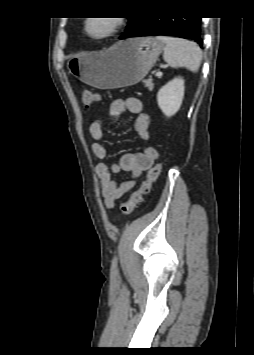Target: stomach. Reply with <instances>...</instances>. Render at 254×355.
Segmentation results:
<instances>
[{
    "label": "stomach",
    "instance_id": "obj_1",
    "mask_svg": "<svg viewBox=\"0 0 254 355\" xmlns=\"http://www.w3.org/2000/svg\"><path fill=\"white\" fill-rule=\"evenodd\" d=\"M164 44L154 37L119 41L102 53H81L67 61L69 73L100 89L121 88L141 81L155 64Z\"/></svg>",
    "mask_w": 254,
    "mask_h": 355
}]
</instances>
